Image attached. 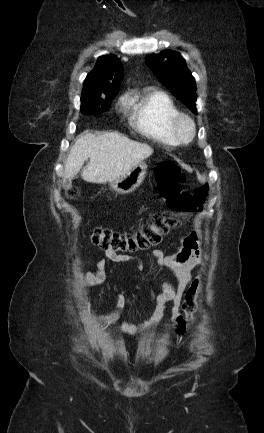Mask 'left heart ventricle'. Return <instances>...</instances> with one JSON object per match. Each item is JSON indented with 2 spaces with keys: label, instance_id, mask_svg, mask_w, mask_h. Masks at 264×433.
Returning <instances> with one entry per match:
<instances>
[{
  "label": "left heart ventricle",
  "instance_id": "b2bd125f",
  "mask_svg": "<svg viewBox=\"0 0 264 433\" xmlns=\"http://www.w3.org/2000/svg\"><path fill=\"white\" fill-rule=\"evenodd\" d=\"M188 132H189L188 127H187V126H183V127H182V133H183L184 135H187Z\"/></svg>",
  "mask_w": 264,
  "mask_h": 433
}]
</instances>
